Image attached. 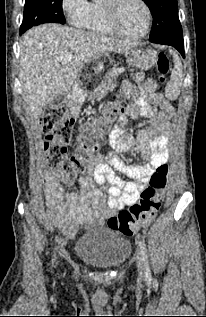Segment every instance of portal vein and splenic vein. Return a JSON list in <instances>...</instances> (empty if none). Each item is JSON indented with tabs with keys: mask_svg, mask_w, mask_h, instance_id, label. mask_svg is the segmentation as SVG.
Returning a JSON list of instances; mask_svg holds the SVG:
<instances>
[{
	"mask_svg": "<svg viewBox=\"0 0 206 317\" xmlns=\"http://www.w3.org/2000/svg\"><path fill=\"white\" fill-rule=\"evenodd\" d=\"M73 54L72 53H67V54H65V55H63L62 57H61V62L62 63H67V62H69V61H71L72 59H73Z\"/></svg>",
	"mask_w": 206,
	"mask_h": 317,
	"instance_id": "obj_1",
	"label": "portal vein and splenic vein"
}]
</instances>
